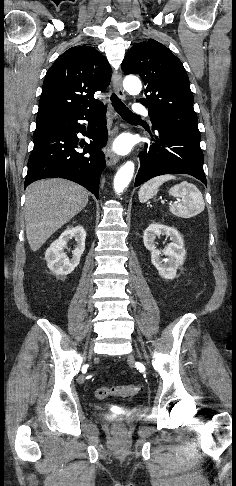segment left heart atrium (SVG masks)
<instances>
[{
	"label": "left heart atrium",
	"instance_id": "obj_1",
	"mask_svg": "<svg viewBox=\"0 0 236 486\" xmlns=\"http://www.w3.org/2000/svg\"><path fill=\"white\" fill-rule=\"evenodd\" d=\"M112 148L115 152L119 154H125L130 150L131 145L127 138L120 137L115 141Z\"/></svg>",
	"mask_w": 236,
	"mask_h": 486
}]
</instances>
